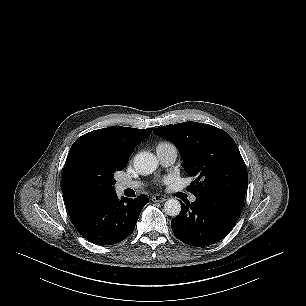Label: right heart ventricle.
I'll list each match as a JSON object with an SVG mask.
<instances>
[{
	"label": "right heart ventricle",
	"mask_w": 306,
	"mask_h": 306,
	"mask_svg": "<svg viewBox=\"0 0 306 306\" xmlns=\"http://www.w3.org/2000/svg\"><path fill=\"white\" fill-rule=\"evenodd\" d=\"M168 145H171L170 143L168 142H160L157 147H160V146H168Z\"/></svg>",
	"instance_id": "e07e8e85"
}]
</instances>
